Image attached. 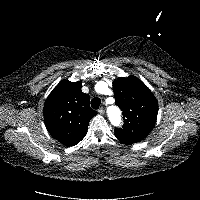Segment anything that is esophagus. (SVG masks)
<instances>
[{
    "label": "esophagus",
    "mask_w": 200,
    "mask_h": 200,
    "mask_svg": "<svg viewBox=\"0 0 200 200\" xmlns=\"http://www.w3.org/2000/svg\"><path fill=\"white\" fill-rule=\"evenodd\" d=\"M98 113L101 114V115H103L104 114V108L103 107L99 108L98 109Z\"/></svg>",
    "instance_id": "34e87169"
}]
</instances>
